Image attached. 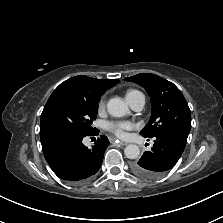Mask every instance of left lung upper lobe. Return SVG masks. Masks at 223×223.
I'll list each match as a JSON object with an SVG mask.
<instances>
[{"label":"left lung upper lobe","instance_id":"obj_1","mask_svg":"<svg viewBox=\"0 0 223 223\" xmlns=\"http://www.w3.org/2000/svg\"><path fill=\"white\" fill-rule=\"evenodd\" d=\"M125 80L144 87L151 98V118L140 132L143 137L154 138L166 132L188 137L191 129L190 109L173 83L150 73H140Z\"/></svg>","mask_w":223,"mask_h":223}]
</instances>
